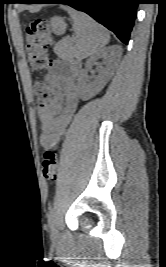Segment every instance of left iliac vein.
<instances>
[{"mask_svg": "<svg viewBox=\"0 0 166 267\" xmlns=\"http://www.w3.org/2000/svg\"><path fill=\"white\" fill-rule=\"evenodd\" d=\"M59 236L57 226L55 224L52 225L50 230V237L53 241H56Z\"/></svg>", "mask_w": 166, "mask_h": 267, "instance_id": "1", "label": "left iliac vein"}]
</instances>
